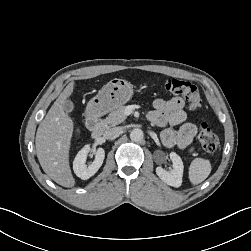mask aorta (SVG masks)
<instances>
[{
    "label": "aorta",
    "instance_id": "1",
    "mask_svg": "<svg viewBox=\"0 0 251 251\" xmlns=\"http://www.w3.org/2000/svg\"><path fill=\"white\" fill-rule=\"evenodd\" d=\"M144 134L141 129L135 128L130 132V139L133 142H140L143 140Z\"/></svg>",
    "mask_w": 251,
    "mask_h": 251
}]
</instances>
